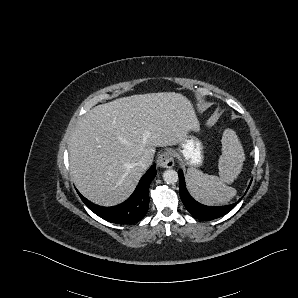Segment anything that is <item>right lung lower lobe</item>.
<instances>
[{"label":"right lung lower lobe","mask_w":298,"mask_h":298,"mask_svg":"<svg viewBox=\"0 0 298 298\" xmlns=\"http://www.w3.org/2000/svg\"><path fill=\"white\" fill-rule=\"evenodd\" d=\"M155 176L156 165L153 164L143 175L130 198L114 207L95 205L78 193L85 205L104 220L117 224H133L143 219L148 211V188Z\"/></svg>","instance_id":"right-lung-lower-lobe-1"}]
</instances>
